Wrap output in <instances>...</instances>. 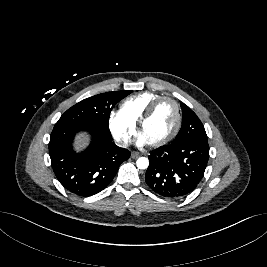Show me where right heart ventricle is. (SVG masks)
I'll list each match as a JSON object with an SVG mask.
<instances>
[{
	"instance_id": "1",
	"label": "right heart ventricle",
	"mask_w": 267,
	"mask_h": 267,
	"mask_svg": "<svg viewBox=\"0 0 267 267\" xmlns=\"http://www.w3.org/2000/svg\"><path fill=\"white\" fill-rule=\"evenodd\" d=\"M161 95L153 92H143L131 96L121 104L120 111L134 125H136L148 106Z\"/></svg>"
}]
</instances>
